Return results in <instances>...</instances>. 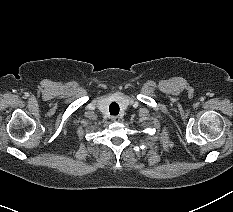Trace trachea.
Listing matches in <instances>:
<instances>
[{
  "instance_id": "3493384b",
  "label": "trachea",
  "mask_w": 233,
  "mask_h": 212,
  "mask_svg": "<svg viewBox=\"0 0 233 212\" xmlns=\"http://www.w3.org/2000/svg\"><path fill=\"white\" fill-rule=\"evenodd\" d=\"M109 111L111 115L119 114V105L116 102H112L109 106Z\"/></svg>"
}]
</instances>
